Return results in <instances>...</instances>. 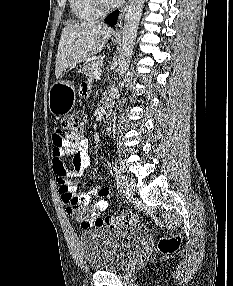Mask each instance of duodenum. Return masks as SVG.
<instances>
[{"instance_id": "obj_1", "label": "duodenum", "mask_w": 233, "mask_h": 286, "mask_svg": "<svg viewBox=\"0 0 233 286\" xmlns=\"http://www.w3.org/2000/svg\"><path fill=\"white\" fill-rule=\"evenodd\" d=\"M112 115V105L110 103L106 104L102 111V120L105 124L110 122Z\"/></svg>"}]
</instances>
